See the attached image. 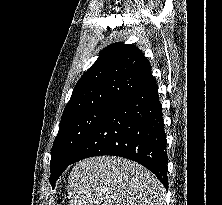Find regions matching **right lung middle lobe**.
<instances>
[{
    "label": "right lung middle lobe",
    "mask_w": 222,
    "mask_h": 205,
    "mask_svg": "<svg viewBox=\"0 0 222 205\" xmlns=\"http://www.w3.org/2000/svg\"><path fill=\"white\" fill-rule=\"evenodd\" d=\"M115 104L94 107L61 119L51 149L50 183L55 184L87 137Z\"/></svg>",
    "instance_id": "dd1d6c3e"
}]
</instances>
